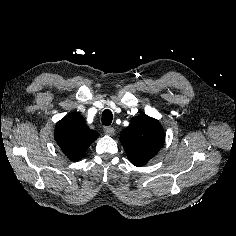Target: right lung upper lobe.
Instances as JSON below:
<instances>
[{
	"mask_svg": "<svg viewBox=\"0 0 236 236\" xmlns=\"http://www.w3.org/2000/svg\"><path fill=\"white\" fill-rule=\"evenodd\" d=\"M55 141L72 161L80 160L98 133L91 130L82 115L73 112L58 121L54 132Z\"/></svg>",
	"mask_w": 236,
	"mask_h": 236,
	"instance_id": "cb5924a9",
	"label": "right lung upper lobe"
}]
</instances>
